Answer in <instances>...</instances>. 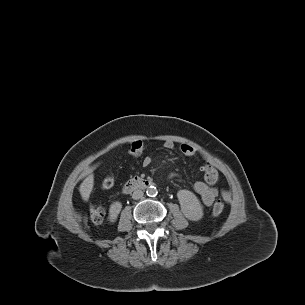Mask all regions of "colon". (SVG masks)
Segmentation results:
<instances>
[{
	"mask_svg": "<svg viewBox=\"0 0 305 305\" xmlns=\"http://www.w3.org/2000/svg\"><path fill=\"white\" fill-rule=\"evenodd\" d=\"M146 145L145 142L141 139L134 140L129 145V154L134 157H139L143 154L145 151ZM115 184V178L114 175L108 174L104 177L102 181V187L104 189H110ZM224 204L221 200H218L215 202L213 208H212V215L218 216L223 212ZM105 216V210L101 206H92L90 208V218L94 223H100L104 219Z\"/></svg>",
	"mask_w": 305,
	"mask_h": 305,
	"instance_id": "1",
	"label": "colon"
}]
</instances>
